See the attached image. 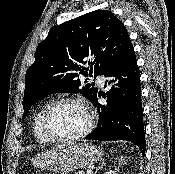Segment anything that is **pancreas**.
<instances>
[{
	"label": "pancreas",
	"instance_id": "obj_1",
	"mask_svg": "<svg viewBox=\"0 0 175 174\" xmlns=\"http://www.w3.org/2000/svg\"><path fill=\"white\" fill-rule=\"evenodd\" d=\"M75 174H86V173L83 172V171H78V172H76Z\"/></svg>",
	"mask_w": 175,
	"mask_h": 174
}]
</instances>
